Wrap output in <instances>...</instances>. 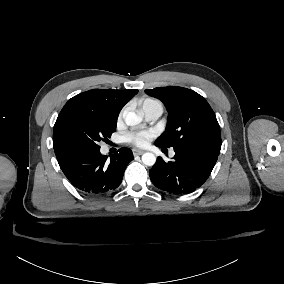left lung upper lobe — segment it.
<instances>
[{"instance_id":"obj_1","label":"left lung upper lobe","mask_w":284,"mask_h":284,"mask_svg":"<svg viewBox=\"0 0 284 284\" xmlns=\"http://www.w3.org/2000/svg\"><path fill=\"white\" fill-rule=\"evenodd\" d=\"M161 100L169 116L165 132L155 141L165 147H191L219 155L221 133L208 102L193 90L169 86L145 90Z\"/></svg>"}]
</instances>
